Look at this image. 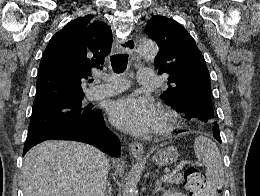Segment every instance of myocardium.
<instances>
[{"instance_id":"obj_1","label":"myocardium","mask_w":260,"mask_h":196,"mask_svg":"<svg viewBox=\"0 0 260 196\" xmlns=\"http://www.w3.org/2000/svg\"><path fill=\"white\" fill-rule=\"evenodd\" d=\"M177 114L164 104H158L156 113V122L153 128L155 135H165L172 131L178 125Z\"/></svg>"}]
</instances>
